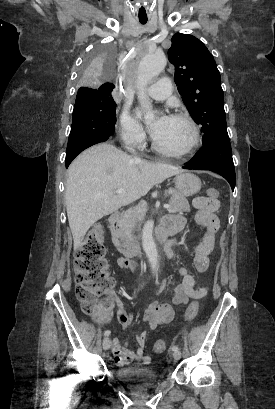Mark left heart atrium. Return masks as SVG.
<instances>
[{
    "label": "left heart atrium",
    "instance_id": "1",
    "mask_svg": "<svg viewBox=\"0 0 275 409\" xmlns=\"http://www.w3.org/2000/svg\"><path fill=\"white\" fill-rule=\"evenodd\" d=\"M166 117H160L159 118V121H161V120H163V119H165ZM156 128H157V124H152L151 126H150V130H151V133L153 134L154 133V131L156 130Z\"/></svg>",
    "mask_w": 275,
    "mask_h": 409
}]
</instances>
